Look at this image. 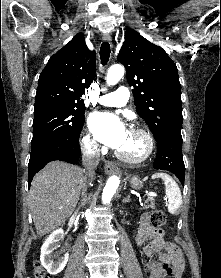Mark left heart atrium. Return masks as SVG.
Returning a JSON list of instances; mask_svg holds the SVG:
<instances>
[{
	"mask_svg": "<svg viewBox=\"0 0 221 278\" xmlns=\"http://www.w3.org/2000/svg\"><path fill=\"white\" fill-rule=\"evenodd\" d=\"M89 124L96 138L111 148L119 149L127 140L129 131L112 113H95L91 116Z\"/></svg>",
	"mask_w": 221,
	"mask_h": 278,
	"instance_id": "left-heart-atrium-1",
	"label": "left heart atrium"
}]
</instances>
